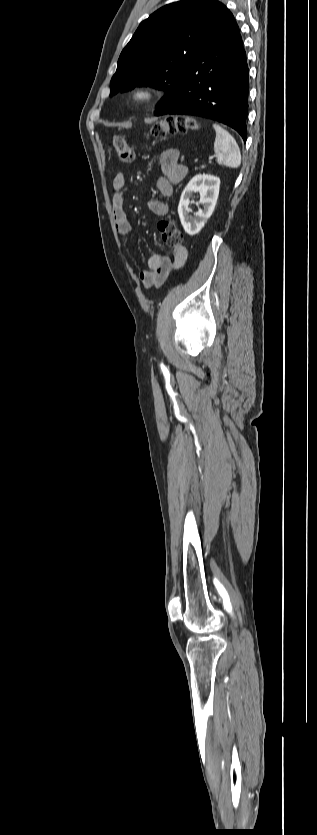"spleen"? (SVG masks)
<instances>
[{
  "label": "spleen",
  "instance_id": "spleen-1",
  "mask_svg": "<svg viewBox=\"0 0 317 835\" xmlns=\"http://www.w3.org/2000/svg\"><path fill=\"white\" fill-rule=\"evenodd\" d=\"M213 128L216 132L214 152L218 164L230 168L239 167L241 164V153L236 140L220 125L214 123Z\"/></svg>",
  "mask_w": 317,
  "mask_h": 835
}]
</instances>
